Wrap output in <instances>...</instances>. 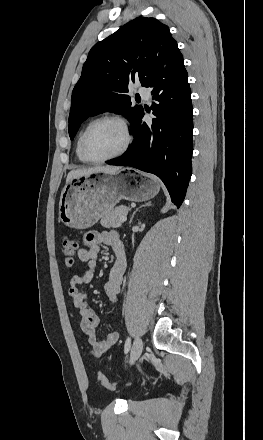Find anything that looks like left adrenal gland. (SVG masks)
Masks as SVG:
<instances>
[{
    "mask_svg": "<svg viewBox=\"0 0 263 440\" xmlns=\"http://www.w3.org/2000/svg\"><path fill=\"white\" fill-rule=\"evenodd\" d=\"M146 206H151V202L146 203L145 205H141L140 207H138V208L133 212V214H132V216H131V218H130V222H129L130 224L132 223V220H133L134 215L136 214V212L139 211L140 208H142V207H146Z\"/></svg>",
    "mask_w": 263,
    "mask_h": 440,
    "instance_id": "obj_1",
    "label": "left adrenal gland"
}]
</instances>
